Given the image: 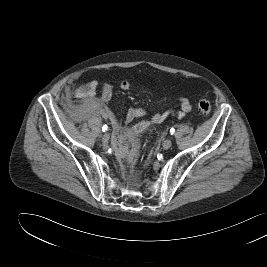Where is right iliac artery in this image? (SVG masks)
<instances>
[{
  "mask_svg": "<svg viewBox=\"0 0 267 267\" xmlns=\"http://www.w3.org/2000/svg\"><path fill=\"white\" fill-rule=\"evenodd\" d=\"M107 129H108L107 125H104V126L102 127L103 132L107 131Z\"/></svg>",
  "mask_w": 267,
  "mask_h": 267,
  "instance_id": "obj_1",
  "label": "right iliac artery"
}]
</instances>
